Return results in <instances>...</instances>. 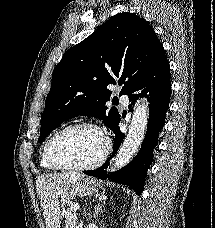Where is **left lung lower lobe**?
I'll return each mask as SVG.
<instances>
[{
  "label": "left lung lower lobe",
  "mask_w": 215,
  "mask_h": 228,
  "mask_svg": "<svg viewBox=\"0 0 215 228\" xmlns=\"http://www.w3.org/2000/svg\"><path fill=\"white\" fill-rule=\"evenodd\" d=\"M170 93V67L165 50L162 48L148 72L128 94L129 100L133 105L136 100L144 96L150 103L148 128L138 154L122 169L112 172L109 175L107 174L105 169L108 167L110 159L119 149L125 136L117 125L113 131L116 138L113 145L112 157L108 158L100 168L84 171L83 173L100 179L108 178L115 183L127 185L140 195L144 188L147 170L153 160L152 150L157 145L158 134L165 123V115L169 108Z\"/></svg>",
  "instance_id": "obj_1"
}]
</instances>
